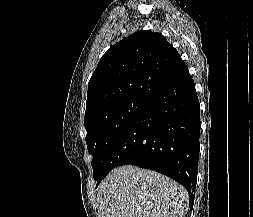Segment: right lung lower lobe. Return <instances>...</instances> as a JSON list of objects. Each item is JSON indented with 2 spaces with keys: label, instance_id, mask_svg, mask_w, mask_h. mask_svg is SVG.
I'll return each instance as SVG.
<instances>
[{
  "label": "right lung lower lobe",
  "instance_id": "1",
  "mask_svg": "<svg viewBox=\"0 0 253 217\" xmlns=\"http://www.w3.org/2000/svg\"><path fill=\"white\" fill-rule=\"evenodd\" d=\"M200 105L187 66L149 98L120 136L98 183L115 167L131 164L167 175L188 191L194 204L198 172Z\"/></svg>",
  "mask_w": 253,
  "mask_h": 217
}]
</instances>
